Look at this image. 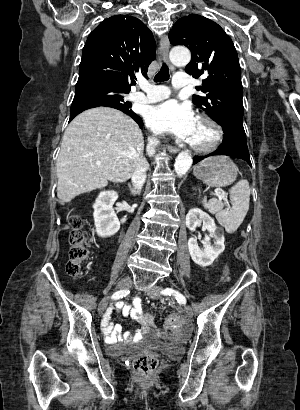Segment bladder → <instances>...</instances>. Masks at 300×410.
<instances>
[{"mask_svg":"<svg viewBox=\"0 0 300 410\" xmlns=\"http://www.w3.org/2000/svg\"><path fill=\"white\" fill-rule=\"evenodd\" d=\"M156 346L162 352L169 353L172 356L180 355L183 352V344L179 342H161ZM126 349V345L118 343L108 344L106 347L107 352L113 356L121 354L122 352L126 351Z\"/></svg>","mask_w":300,"mask_h":410,"instance_id":"31cf9c89","label":"bladder"}]
</instances>
